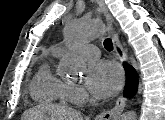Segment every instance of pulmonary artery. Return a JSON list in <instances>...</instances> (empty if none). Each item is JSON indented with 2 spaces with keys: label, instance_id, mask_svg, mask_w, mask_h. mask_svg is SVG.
<instances>
[{
  "label": "pulmonary artery",
  "instance_id": "pulmonary-artery-1",
  "mask_svg": "<svg viewBox=\"0 0 165 120\" xmlns=\"http://www.w3.org/2000/svg\"><path fill=\"white\" fill-rule=\"evenodd\" d=\"M83 55L88 58H97L100 55L99 49L95 45H84L80 48Z\"/></svg>",
  "mask_w": 165,
  "mask_h": 120
}]
</instances>
